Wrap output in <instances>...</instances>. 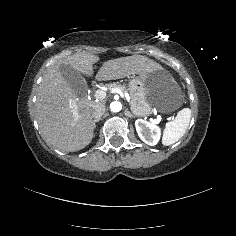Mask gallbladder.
<instances>
[{
  "label": "gallbladder",
  "instance_id": "1",
  "mask_svg": "<svg viewBox=\"0 0 236 236\" xmlns=\"http://www.w3.org/2000/svg\"><path fill=\"white\" fill-rule=\"evenodd\" d=\"M58 70L62 78L66 81V83L72 90H78V88H85L86 82L84 81L83 76L77 70V68L73 67L70 64H65L64 62H61L59 64Z\"/></svg>",
  "mask_w": 236,
  "mask_h": 236
}]
</instances>
